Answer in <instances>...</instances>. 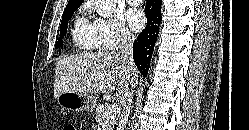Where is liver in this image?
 I'll return each instance as SVG.
<instances>
[{
    "label": "liver",
    "mask_w": 249,
    "mask_h": 130,
    "mask_svg": "<svg viewBox=\"0 0 249 130\" xmlns=\"http://www.w3.org/2000/svg\"><path fill=\"white\" fill-rule=\"evenodd\" d=\"M138 71L129 78L116 53H81L56 63L54 97L64 92L84 94L111 93L120 103L137 84Z\"/></svg>",
    "instance_id": "liver-1"
}]
</instances>
